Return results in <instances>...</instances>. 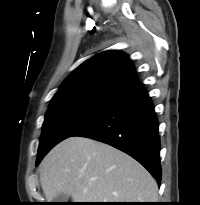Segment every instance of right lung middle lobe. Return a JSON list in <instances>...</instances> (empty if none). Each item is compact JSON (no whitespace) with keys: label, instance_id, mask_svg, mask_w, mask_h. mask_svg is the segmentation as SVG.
<instances>
[{"label":"right lung middle lobe","instance_id":"obj_1","mask_svg":"<svg viewBox=\"0 0 200 205\" xmlns=\"http://www.w3.org/2000/svg\"><path fill=\"white\" fill-rule=\"evenodd\" d=\"M115 102L104 98H73L50 105L43 123L36 165L60 141L94 121Z\"/></svg>","mask_w":200,"mask_h":205}]
</instances>
